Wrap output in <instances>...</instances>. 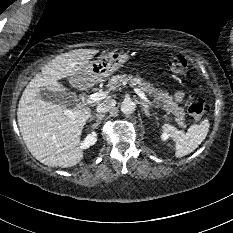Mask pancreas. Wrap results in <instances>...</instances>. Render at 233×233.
<instances>
[{
	"mask_svg": "<svg viewBox=\"0 0 233 233\" xmlns=\"http://www.w3.org/2000/svg\"><path fill=\"white\" fill-rule=\"evenodd\" d=\"M130 81L133 85H137L142 92L147 93L150 97H153L155 102H158L166 111L172 113L175 116V121L182 128H185L184 123L185 112L182 107L178 106V103L174 101L173 97L167 92L160 89H156L152 84L140 76L133 77L132 75H115L109 82V88H117L122 85L123 82Z\"/></svg>",
	"mask_w": 233,
	"mask_h": 233,
	"instance_id": "obj_1",
	"label": "pancreas"
}]
</instances>
